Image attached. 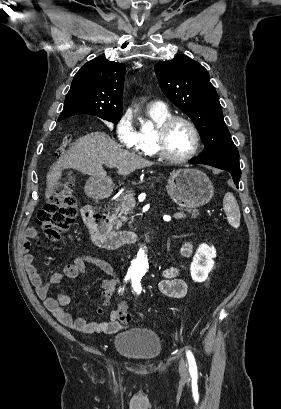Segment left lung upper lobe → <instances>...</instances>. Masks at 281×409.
<instances>
[{
  "mask_svg": "<svg viewBox=\"0 0 281 409\" xmlns=\"http://www.w3.org/2000/svg\"><path fill=\"white\" fill-rule=\"evenodd\" d=\"M155 71L163 93L192 119L199 131L205 148L198 159H239L207 70L180 54L157 63Z\"/></svg>",
  "mask_w": 281,
  "mask_h": 409,
  "instance_id": "left-lung-upper-lobe-1",
  "label": "left lung upper lobe"
}]
</instances>
